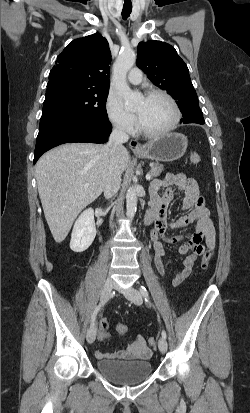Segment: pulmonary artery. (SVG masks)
I'll return each mask as SVG.
<instances>
[{"label": "pulmonary artery", "mask_w": 250, "mask_h": 413, "mask_svg": "<svg viewBox=\"0 0 250 413\" xmlns=\"http://www.w3.org/2000/svg\"><path fill=\"white\" fill-rule=\"evenodd\" d=\"M128 81L131 84H139L142 81V72L139 68H132L127 76Z\"/></svg>", "instance_id": "obj_1"}]
</instances>
